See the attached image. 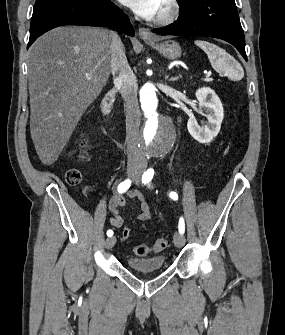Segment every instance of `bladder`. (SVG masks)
<instances>
[{"instance_id":"obj_1","label":"bladder","mask_w":285,"mask_h":335,"mask_svg":"<svg viewBox=\"0 0 285 335\" xmlns=\"http://www.w3.org/2000/svg\"><path fill=\"white\" fill-rule=\"evenodd\" d=\"M125 258H127V265H131V272L160 273L158 267L159 265H163L162 260L163 258L167 257H165L162 253H156L153 254L152 256H145V257L126 256Z\"/></svg>"}]
</instances>
